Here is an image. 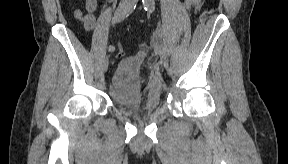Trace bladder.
Segmentation results:
<instances>
[{
    "label": "bladder",
    "mask_w": 288,
    "mask_h": 164,
    "mask_svg": "<svg viewBox=\"0 0 288 164\" xmlns=\"http://www.w3.org/2000/svg\"><path fill=\"white\" fill-rule=\"evenodd\" d=\"M143 56L134 55L119 63L113 71L109 97L122 113L143 111L154 113L159 107L160 95L151 88L143 87L138 70Z\"/></svg>",
    "instance_id": "1"
}]
</instances>
